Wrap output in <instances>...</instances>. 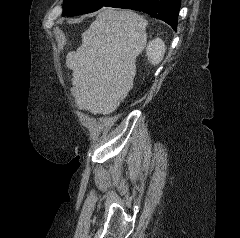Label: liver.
Wrapping results in <instances>:
<instances>
[{"label":"liver","instance_id":"6515ba94","mask_svg":"<svg viewBox=\"0 0 240 238\" xmlns=\"http://www.w3.org/2000/svg\"><path fill=\"white\" fill-rule=\"evenodd\" d=\"M144 17L127 10L102 9L82 34V45L69 52L71 93L80 110L107 115L133 88L136 57L147 43Z\"/></svg>","mask_w":240,"mask_h":238}]
</instances>
